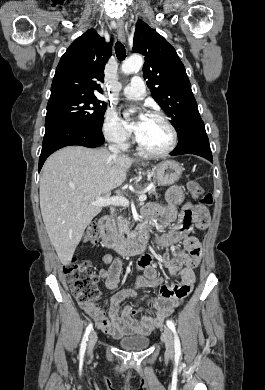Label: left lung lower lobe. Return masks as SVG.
I'll return each mask as SVG.
<instances>
[{
	"label": "left lung lower lobe",
	"mask_w": 265,
	"mask_h": 390,
	"mask_svg": "<svg viewBox=\"0 0 265 390\" xmlns=\"http://www.w3.org/2000/svg\"><path fill=\"white\" fill-rule=\"evenodd\" d=\"M170 154L172 156L181 154H195L213 162L204 123L202 122L199 124L191 136L182 144L177 145Z\"/></svg>",
	"instance_id": "left-lung-lower-lobe-1"
}]
</instances>
